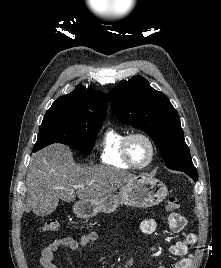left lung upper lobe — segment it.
Here are the masks:
<instances>
[{
  "label": "left lung upper lobe",
  "instance_id": "5c2ea615",
  "mask_svg": "<svg viewBox=\"0 0 221 268\" xmlns=\"http://www.w3.org/2000/svg\"><path fill=\"white\" fill-rule=\"evenodd\" d=\"M109 96L115 116L147 132L168 168L179 171L195 168L178 113L162 92L150 87L145 78L135 76L114 87Z\"/></svg>",
  "mask_w": 221,
  "mask_h": 268
}]
</instances>
